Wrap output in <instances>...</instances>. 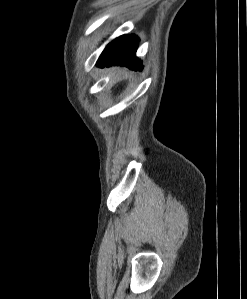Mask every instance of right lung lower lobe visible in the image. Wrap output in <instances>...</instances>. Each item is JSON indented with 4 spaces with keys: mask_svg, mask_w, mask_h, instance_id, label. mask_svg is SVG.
I'll use <instances>...</instances> for the list:
<instances>
[{
    "mask_svg": "<svg viewBox=\"0 0 247 299\" xmlns=\"http://www.w3.org/2000/svg\"><path fill=\"white\" fill-rule=\"evenodd\" d=\"M139 39L135 35H122L111 41L102 52L100 67L121 65L130 69L142 70L141 61L135 56Z\"/></svg>",
    "mask_w": 247,
    "mask_h": 299,
    "instance_id": "98d812e1",
    "label": "right lung lower lobe"
}]
</instances>
